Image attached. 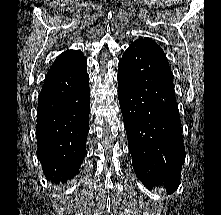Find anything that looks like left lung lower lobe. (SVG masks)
Here are the masks:
<instances>
[{"label": "left lung lower lobe", "instance_id": "obj_1", "mask_svg": "<svg viewBox=\"0 0 221 215\" xmlns=\"http://www.w3.org/2000/svg\"><path fill=\"white\" fill-rule=\"evenodd\" d=\"M118 98L136 176L177 188L185 149L169 64L132 43L119 61Z\"/></svg>", "mask_w": 221, "mask_h": 215}]
</instances>
